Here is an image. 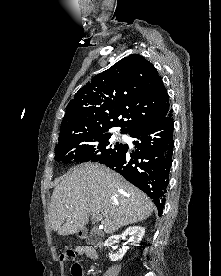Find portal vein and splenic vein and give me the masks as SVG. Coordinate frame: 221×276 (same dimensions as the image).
<instances>
[{
	"mask_svg": "<svg viewBox=\"0 0 221 276\" xmlns=\"http://www.w3.org/2000/svg\"><path fill=\"white\" fill-rule=\"evenodd\" d=\"M92 217L95 219V221H101L103 219L102 215L95 213L92 214Z\"/></svg>",
	"mask_w": 221,
	"mask_h": 276,
	"instance_id": "1",
	"label": "portal vein and splenic vein"
}]
</instances>
